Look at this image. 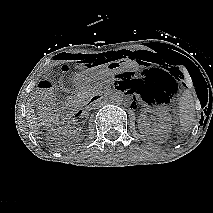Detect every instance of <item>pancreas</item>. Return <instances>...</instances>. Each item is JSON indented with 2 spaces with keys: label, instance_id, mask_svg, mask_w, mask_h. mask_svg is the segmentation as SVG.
<instances>
[{
  "label": "pancreas",
  "instance_id": "pancreas-1",
  "mask_svg": "<svg viewBox=\"0 0 213 213\" xmlns=\"http://www.w3.org/2000/svg\"><path fill=\"white\" fill-rule=\"evenodd\" d=\"M95 89H96V86H92V85H87L82 87L81 95H80L81 101L86 102L87 100H89L93 96V94L96 93Z\"/></svg>",
  "mask_w": 213,
  "mask_h": 213
}]
</instances>
